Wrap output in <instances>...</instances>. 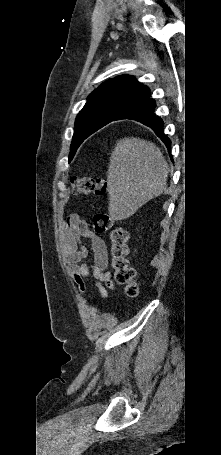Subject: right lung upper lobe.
<instances>
[{
	"label": "right lung upper lobe",
	"mask_w": 221,
	"mask_h": 455,
	"mask_svg": "<svg viewBox=\"0 0 221 455\" xmlns=\"http://www.w3.org/2000/svg\"><path fill=\"white\" fill-rule=\"evenodd\" d=\"M149 95L148 87L137 82L133 76L122 75L100 85L89 95L85 106L109 104L126 111L148 98Z\"/></svg>",
	"instance_id": "1"
}]
</instances>
